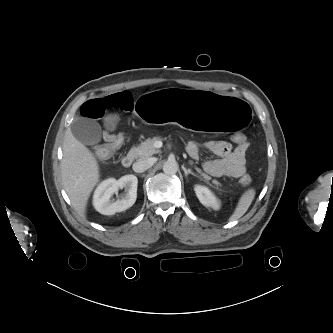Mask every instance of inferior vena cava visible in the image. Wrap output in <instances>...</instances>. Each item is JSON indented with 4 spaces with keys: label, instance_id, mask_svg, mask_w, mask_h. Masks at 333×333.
Instances as JSON below:
<instances>
[{
    "label": "inferior vena cava",
    "instance_id": "inferior-vena-cava-1",
    "mask_svg": "<svg viewBox=\"0 0 333 333\" xmlns=\"http://www.w3.org/2000/svg\"><path fill=\"white\" fill-rule=\"evenodd\" d=\"M153 164V159H140L133 164L132 168L136 173H142L152 167Z\"/></svg>",
    "mask_w": 333,
    "mask_h": 333
}]
</instances>
